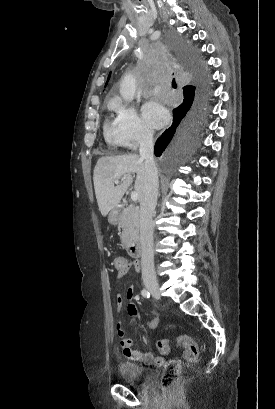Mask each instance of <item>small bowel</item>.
<instances>
[{"label": "small bowel", "instance_id": "1", "mask_svg": "<svg viewBox=\"0 0 275 409\" xmlns=\"http://www.w3.org/2000/svg\"><path fill=\"white\" fill-rule=\"evenodd\" d=\"M124 266H125V271L124 273L128 272L130 269L138 270L139 269V264L136 262H130L126 259H124ZM124 273H117L115 275V278L117 280H120L122 278L121 274ZM126 297L128 299H133L135 297V286L131 284L127 291H126ZM115 305L118 311H121L123 306H124V297L121 295H117L115 299ZM127 312L130 316H137L138 311L137 308L134 304H129L127 306ZM135 322L139 321L138 317L134 318ZM145 326H147L149 329H155L158 324H159V318L158 317H152L150 318L147 322L145 321L143 323ZM116 325L118 327H121L123 325V322L121 320H118L116 322ZM119 335V344L122 348L123 351L126 353V357L128 360H139L143 364H149V365H154V366H161L163 364V358L162 357H155L149 352L145 353H139L137 350L134 348L132 350V346H137L138 345V340L133 339L132 337H125V332L123 330H120L118 332Z\"/></svg>", "mask_w": 275, "mask_h": 409}]
</instances>
